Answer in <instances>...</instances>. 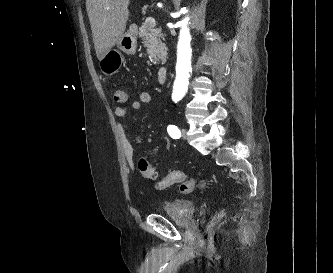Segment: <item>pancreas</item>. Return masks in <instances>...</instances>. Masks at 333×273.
Listing matches in <instances>:
<instances>
[{
    "instance_id": "obj_1",
    "label": "pancreas",
    "mask_w": 333,
    "mask_h": 273,
    "mask_svg": "<svg viewBox=\"0 0 333 273\" xmlns=\"http://www.w3.org/2000/svg\"><path fill=\"white\" fill-rule=\"evenodd\" d=\"M138 35L143 40L144 46L147 48L149 58L154 64L164 61L167 55V47L162 40L163 34L160 29H154L148 22H144L139 28Z\"/></svg>"
}]
</instances>
